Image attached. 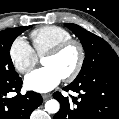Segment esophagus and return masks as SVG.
<instances>
[{
	"label": "esophagus",
	"mask_w": 119,
	"mask_h": 119,
	"mask_svg": "<svg viewBox=\"0 0 119 119\" xmlns=\"http://www.w3.org/2000/svg\"><path fill=\"white\" fill-rule=\"evenodd\" d=\"M42 97H43V100L46 101L51 97V94H43Z\"/></svg>",
	"instance_id": "34e87169"
}]
</instances>
